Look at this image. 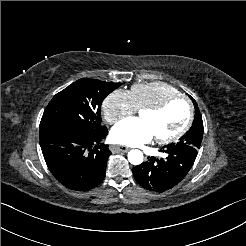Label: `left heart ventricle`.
I'll return each instance as SVG.
<instances>
[{"instance_id": "obj_1", "label": "left heart ventricle", "mask_w": 246, "mask_h": 246, "mask_svg": "<svg viewBox=\"0 0 246 246\" xmlns=\"http://www.w3.org/2000/svg\"><path fill=\"white\" fill-rule=\"evenodd\" d=\"M186 116L187 106L185 102L176 100L160 113L142 111L138 117L150 127L155 137H167L183 126Z\"/></svg>"}]
</instances>
